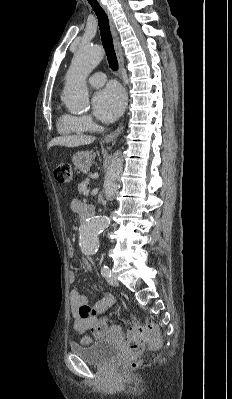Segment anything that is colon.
<instances>
[{
	"label": "colon",
	"mask_w": 232,
	"mask_h": 399,
	"mask_svg": "<svg viewBox=\"0 0 232 399\" xmlns=\"http://www.w3.org/2000/svg\"><path fill=\"white\" fill-rule=\"evenodd\" d=\"M55 179L59 180V185H73V168L69 163H56ZM61 179V180H60ZM146 328H156V321H146ZM131 340H120L121 353H144L146 346V330L141 326H132L130 330ZM88 342V337L79 336V343ZM88 347H95V342H88ZM142 358H136L135 355H126L123 361V368H132L133 365H142Z\"/></svg>",
	"instance_id": "5ec220e1"
}]
</instances>
